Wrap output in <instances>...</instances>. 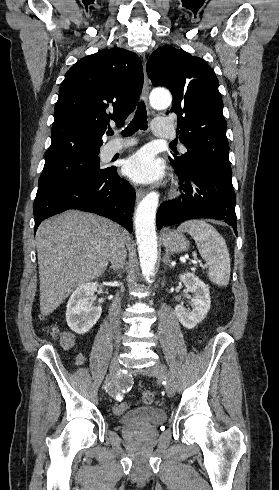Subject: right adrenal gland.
<instances>
[{
	"label": "right adrenal gland",
	"mask_w": 279,
	"mask_h": 490,
	"mask_svg": "<svg viewBox=\"0 0 279 490\" xmlns=\"http://www.w3.org/2000/svg\"><path fill=\"white\" fill-rule=\"evenodd\" d=\"M109 270H114V272H116V268H112V266H110Z\"/></svg>",
	"instance_id": "obj_1"
}]
</instances>
